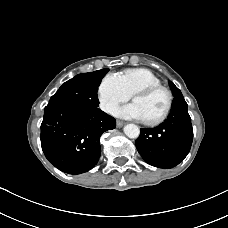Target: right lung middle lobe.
Returning a JSON list of instances; mask_svg holds the SVG:
<instances>
[{
  "label": "right lung middle lobe",
  "instance_id": "right-lung-middle-lobe-1",
  "mask_svg": "<svg viewBox=\"0 0 228 228\" xmlns=\"http://www.w3.org/2000/svg\"><path fill=\"white\" fill-rule=\"evenodd\" d=\"M108 68L95 72L78 74L65 82L51 97L48 105L58 104L75 109H93L99 106L98 87Z\"/></svg>",
  "mask_w": 228,
  "mask_h": 228
}]
</instances>
